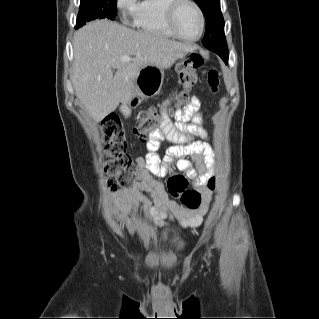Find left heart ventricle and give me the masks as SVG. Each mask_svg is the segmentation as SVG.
Instances as JSON below:
<instances>
[{"label": "left heart ventricle", "mask_w": 319, "mask_h": 319, "mask_svg": "<svg viewBox=\"0 0 319 319\" xmlns=\"http://www.w3.org/2000/svg\"><path fill=\"white\" fill-rule=\"evenodd\" d=\"M175 24L181 35L194 38L200 30V21L196 10L190 4H184L177 12Z\"/></svg>", "instance_id": "b2bd125f"}]
</instances>
